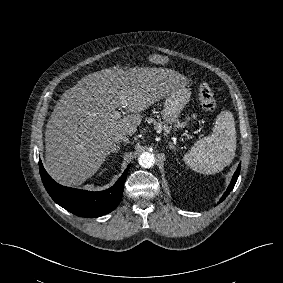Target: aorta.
<instances>
[{
  "label": "aorta",
  "instance_id": "1",
  "mask_svg": "<svg viewBox=\"0 0 283 283\" xmlns=\"http://www.w3.org/2000/svg\"><path fill=\"white\" fill-rule=\"evenodd\" d=\"M138 162L141 167L150 168L155 163V156L150 152H143L139 158Z\"/></svg>",
  "mask_w": 283,
  "mask_h": 283
}]
</instances>
